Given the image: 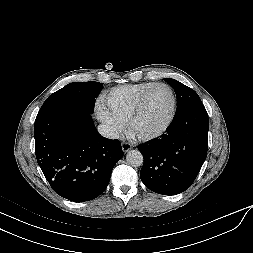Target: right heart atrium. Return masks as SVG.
<instances>
[{
    "instance_id": "right-heart-atrium-1",
    "label": "right heart atrium",
    "mask_w": 253,
    "mask_h": 253,
    "mask_svg": "<svg viewBox=\"0 0 253 253\" xmlns=\"http://www.w3.org/2000/svg\"><path fill=\"white\" fill-rule=\"evenodd\" d=\"M96 114L112 134L115 135L124 129V125L110 113L103 103L97 104Z\"/></svg>"
}]
</instances>
